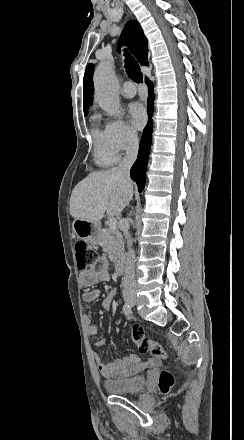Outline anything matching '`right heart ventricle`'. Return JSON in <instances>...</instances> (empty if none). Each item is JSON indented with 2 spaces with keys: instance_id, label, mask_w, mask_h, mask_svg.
<instances>
[{
  "instance_id": "e07e8e85",
  "label": "right heart ventricle",
  "mask_w": 244,
  "mask_h": 440,
  "mask_svg": "<svg viewBox=\"0 0 244 440\" xmlns=\"http://www.w3.org/2000/svg\"><path fill=\"white\" fill-rule=\"evenodd\" d=\"M90 122L92 126V135L93 139L96 143V152H95V160L98 164L102 166H110L118 162L119 156L117 153L109 151L107 148L105 150H100V145L105 144V134L99 126V116L96 114L90 117Z\"/></svg>"
}]
</instances>
